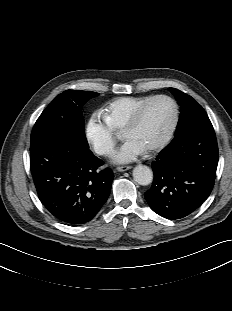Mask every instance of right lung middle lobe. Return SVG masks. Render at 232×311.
Here are the masks:
<instances>
[{"label": "right lung middle lobe", "mask_w": 232, "mask_h": 311, "mask_svg": "<svg viewBox=\"0 0 232 311\" xmlns=\"http://www.w3.org/2000/svg\"><path fill=\"white\" fill-rule=\"evenodd\" d=\"M97 95L96 92L79 90H66L59 94L37 119L31 143L50 137H63L88 149L81 107Z\"/></svg>", "instance_id": "dd1d6c3e"}]
</instances>
